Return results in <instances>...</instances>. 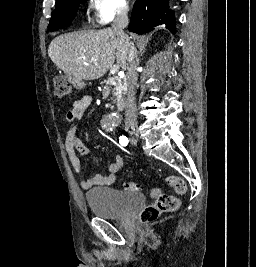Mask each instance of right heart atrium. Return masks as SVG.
<instances>
[{
    "mask_svg": "<svg viewBox=\"0 0 256 267\" xmlns=\"http://www.w3.org/2000/svg\"><path fill=\"white\" fill-rule=\"evenodd\" d=\"M116 17L117 15L115 17H108L100 12L96 13L94 22H113Z\"/></svg>",
    "mask_w": 256,
    "mask_h": 267,
    "instance_id": "obj_1",
    "label": "right heart atrium"
}]
</instances>
